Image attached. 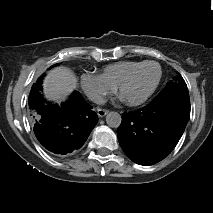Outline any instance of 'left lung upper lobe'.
<instances>
[{"label": "left lung upper lobe", "instance_id": "left-lung-upper-lobe-1", "mask_svg": "<svg viewBox=\"0 0 213 213\" xmlns=\"http://www.w3.org/2000/svg\"><path fill=\"white\" fill-rule=\"evenodd\" d=\"M168 89L188 91L187 85H186L184 79L182 78V76L179 73H177V76L174 77L172 81L167 83L166 87L161 92H164Z\"/></svg>", "mask_w": 213, "mask_h": 213}]
</instances>
